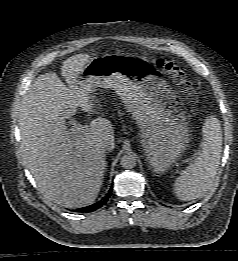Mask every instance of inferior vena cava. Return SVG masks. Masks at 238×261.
I'll return each mask as SVG.
<instances>
[{
  "label": "inferior vena cava",
  "instance_id": "obj_1",
  "mask_svg": "<svg viewBox=\"0 0 238 261\" xmlns=\"http://www.w3.org/2000/svg\"><path fill=\"white\" fill-rule=\"evenodd\" d=\"M100 149L103 151V152H106L108 150H110V146L108 144H103Z\"/></svg>",
  "mask_w": 238,
  "mask_h": 261
}]
</instances>
